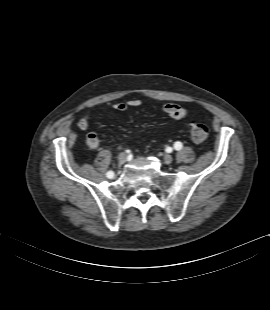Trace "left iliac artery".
<instances>
[{"label": "left iliac artery", "instance_id": "1", "mask_svg": "<svg viewBox=\"0 0 270 310\" xmlns=\"http://www.w3.org/2000/svg\"><path fill=\"white\" fill-rule=\"evenodd\" d=\"M174 148L176 149V150H180L181 148H182V143L181 142H175V144H174Z\"/></svg>", "mask_w": 270, "mask_h": 310}]
</instances>
